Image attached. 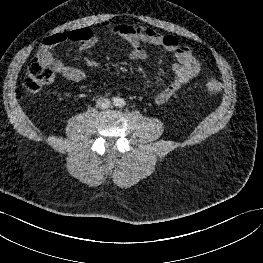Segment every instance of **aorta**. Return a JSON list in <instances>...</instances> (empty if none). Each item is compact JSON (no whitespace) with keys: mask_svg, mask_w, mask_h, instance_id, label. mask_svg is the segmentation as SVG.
Returning <instances> with one entry per match:
<instances>
[{"mask_svg":"<svg viewBox=\"0 0 263 263\" xmlns=\"http://www.w3.org/2000/svg\"><path fill=\"white\" fill-rule=\"evenodd\" d=\"M114 105H115V106L122 107V106L125 105V101H124V99H122V98H115V99H114Z\"/></svg>","mask_w":263,"mask_h":263,"instance_id":"aorta-1","label":"aorta"}]
</instances>
